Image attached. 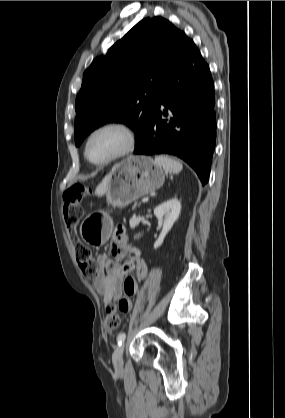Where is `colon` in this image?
<instances>
[{"mask_svg":"<svg viewBox=\"0 0 285 418\" xmlns=\"http://www.w3.org/2000/svg\"><path fill=\"white\" fill-rule=\"evenodd\" d=\"M83 196L80 186L74 185L64 193L63 214L67 228V236L73 245L76 261L84 276L93 279L97 275V263L92 258L91 250L81 241L77 227L81 219L80 201ZM124 232L122 228L116 230V235ZM120 323L119 313L113 304L106 306L105 324L108 329L118 327Z\"/></svg>","mask_w":285,"mask_h":418,"instance_id":"obj_1","label":"colon"}]
</instances>
